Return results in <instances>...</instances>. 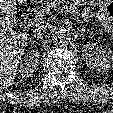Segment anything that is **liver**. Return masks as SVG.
I'll return each mask as SVG.
<instances>
[{
    "instance_id": "obj_1",
    "label": "liver",
    "mask_w": 113,
    "mask_h": 113,
    "mask_svg": "<svg viewBox=\"0 0 113 113\" xmlns=\"http://www.w3.org/2000/svg\"><path fill=\"white\" fill-rule=\"evenodd\" d=\"M26 1L0 0V89L12 85L25 53L28 34L15 31L11 20L15 16L17 3Z\"/></svg>"
}]
</instances>
